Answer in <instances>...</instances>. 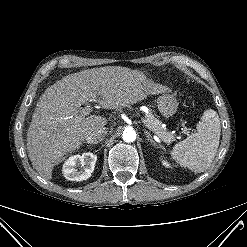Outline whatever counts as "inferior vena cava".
I'll list each match as a JSON object with an SVG mask.
<instances>
[{
    "instance_id": "inferior-vena-cava-1",
    "label": "inferior vena cava",
    "mask_w": 247,
    "mask_h": 247,
    "mask_svg": "<svg viewBox=\"0 0 247 247\" xmlns=\"http://www.w3.org/2000/svg\"><path fill=\"white\" fill-rule=\"evenodd\" d=\"M107 134V130L103 128H99L89 134L86 138V142L89 144H98L102 142Z\"/></svg>"
}]
</instances>
